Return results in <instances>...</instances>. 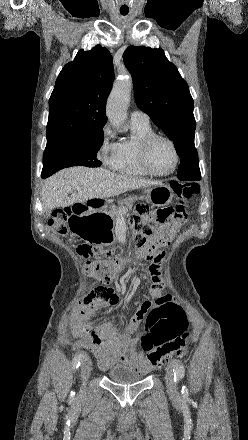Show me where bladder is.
I'll use <instances>...</instances> for the list:
<instances>
[{"label": "bladder", "instance_id": "31cf9c89", "mask_svg": "<svg viewBox=\"0 0 248 440\" xmlns=\"http://www.w3.org/2000/svg\"><path fill=\"white\" fill-rule=\"evenodd\" d=\"M146 372L136 371L127 365H117L107 373V378L116 384H132L144 379Z\"/></svg>", "mask_w": 248, "mask_h": 440}]
</instances>
